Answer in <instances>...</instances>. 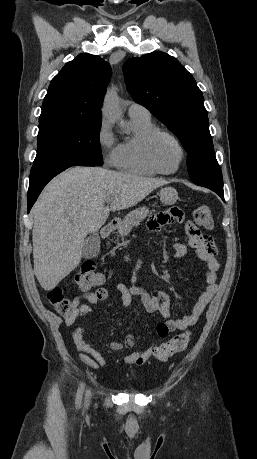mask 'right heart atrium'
Returning a JSON list of instances; mask_svg holds the SVG:
<instances>
[{"label":"right heart atrium","instance_id":"obj_1","mask_svg":"<svg viewBox=\"0 0 257 459\" xmlns=\"http://www.w3.org/2000/svg\"><path fill=\"white\" fill-rule=\"evenodd\" d=\"M97 143L105 163L114 164L117 152V144L111 131L110 125L106 120L101 122L98 129Z\"/></svg>","mask_w":257,"mask_h":459}]
</instances>
